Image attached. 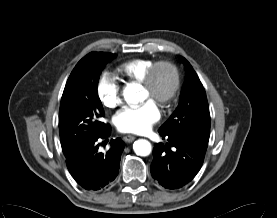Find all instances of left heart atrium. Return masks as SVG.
<instances>
[{"mask_svg": "<svg viewBox=\"0 0 277 218\" xmlns=\"http://www.w3.org/2000/svg\"><path fill=\"white\" fill-rule=\"evenodd\" d=\"M157 117V110L153 103L133 106L119 113V125L124 129L141 130L148 127Z\"/></svg>", "mask_w": 277, "mask_h": 218, "instance_id": "1", "label": "left heart atrium"}]
</instances>
